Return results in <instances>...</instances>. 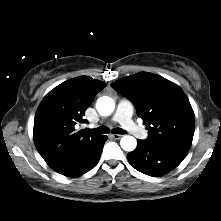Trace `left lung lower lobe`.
Returning a JSON list of instances; mask_svg holds the SVG:
<instances>
[{"instance_id":"1","label":"left lung lower lobe","mask_w":221,"mask_h":221,"mask_svg":"<svg viewBox=\"0 0 221 221\" xmlns=\"http://www.w3.org/2000/svg\"><path fill=\"white\" fill-rule=\"evenodd\" d=\"M188 151L178 146L138 140L136 149L128 153L127 157L130 164L138 171L158 177L176 168Z\"/></svg>"}]
</instances>
